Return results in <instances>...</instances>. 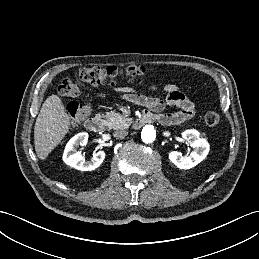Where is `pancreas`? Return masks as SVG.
<instances>
[{
  "mask_svg": "<svg viewBox=\"0 0 259 259\" xmlns=\"http://www.w3.org/2000/svg\"><path fill=\"white\" fill-rule=\"evenodd\" d=\"M102 117L109 129L128 128L132 123V119L115 111L107 112L105 115H102Z\"/></svg>",
  "mask_w": 259,
  "mask_h": 259,
  "instance_id": "cf45deb5",
  "label": "pancreas"
}]
</instances>
